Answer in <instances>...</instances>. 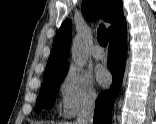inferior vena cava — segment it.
Instances as JSON below:
<instances>
[{
    "mask_svg": "<svg viewBox=\"0 0 156 124\" xmlns=\"http://www.w3.org/2000/svg\"><path fill=\"white\" fill-rule=\"evenodd\" d=\"M96 95H89L81 104L75 124H92L94 118Z\"/></svg>",
    "mask_w": 156,
    "mask_h": 124,
    "instance_id": "inferior-vena-cava-1",
    "label": "inferior vena cava"
}]
</instances>
